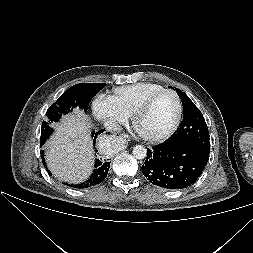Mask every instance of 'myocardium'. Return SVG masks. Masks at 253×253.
I'll return each instance as SVG.
<instances>
[{
    "label": "myocardium",
    "mask_w": 253,
    "mask_h": 253,
    "mask_svg": "<svg viewBox=\"0 0 253 253\" xmlns=\"http://www.w3.org/2000/svg\"><path fill=\"white\" fill-rule=\"evenodd\" d=\"M165 93L172 94L175 98V101H176L177 113H176V117H175L173 123L164 133H162L160 135L149 136V135H145V134L141 133L137 129V123H138L139 119L141 118V116H143L149 110V108L152 106L154 101ZM182 113H183V108H182V103H181V99H180L179 95L172 89H162V90L150 95L149 97H147L139 105V107L136 109V111L134 112V114L132 116V124L144 139L151 141V142H159V141H163V140L167 139L176 131V129L178 128V126L180 124V121L182 118Z\"/></svg>",
    "instance_id": "myocardium-1"
}]
</instances>
